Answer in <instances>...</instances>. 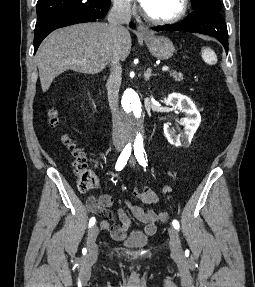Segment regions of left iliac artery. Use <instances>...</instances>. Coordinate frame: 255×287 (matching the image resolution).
Returning <instances> with one entry per match:
<instances>
[{
	"instance_id": "44dca946",
	"label": "left iliac artery",
	"mask_w": 255,
	"mask_h": 287,
	"mask_svg": "<svg viewBox=\"0 0 255 287\" xmlns=\"http://www.w3.org/2000/svg\"><path fill=\"white\" fill-rule=\"evenodd\" d=\"M134 154L135 157L138 161V163L142 166V167H146L147 166V156H146V152L144 150L143 147L137 146L134 148ZM173 226L175 229H179L180 225L179 222L177 220H173L172 222Z\"/></svg>"
}]
</instances>
